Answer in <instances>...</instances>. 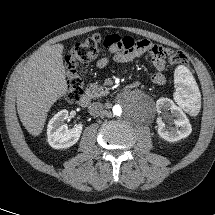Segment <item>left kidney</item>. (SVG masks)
<instances>
[{
	"mask_svg": "<svg viewBox=\"0 0 215 215\" xmlns=\"http://www.w3.org/2000/svg\"><path fill=\"white\" fill-rule=\"evenodd\" d=\"M156 109L158 113L163 114L166 118H168L167 111L170 110L172 116L175 117V127H166L162 121V117L157 118L158 134L161 138L169 142H176L191 134L192 127L186 114L180 107L176 106L171 99H158L156 102Z\"/></svg>",
	"mask_w": 215,
	"mask_h": 215,
	"instance_id": "obj_1",
	"label": "left kidney"
}]
</instances>
